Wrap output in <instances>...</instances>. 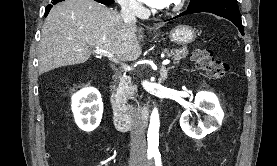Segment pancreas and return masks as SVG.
<instances>
[{"label":"pancreas","instance_id":"1","mask_svg":"<svg viewBox=\"0 0 277 166\" xmlns=\"http://www.w3.org/2000/svg\"><path fill=\"white\" fill-rule=\"evenodd\" d=\"M164 53L168 56L174 59V63L185 58L188 55L187 48L182 49H172L168 50L165 49ZM131 78L129 76L123 75L119 77V80L117 81L116 86V98L119 99L123 105V107H126V102L130 97L131 94Z\"/></svg>","mask_w":277,"mask_h":166}]
</instances>
